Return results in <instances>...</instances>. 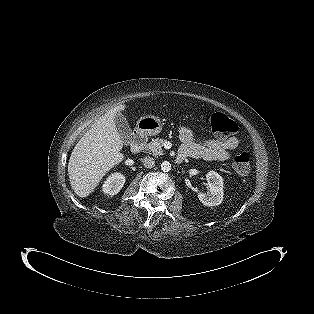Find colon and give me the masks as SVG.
<instances>
[{
	"label": "colon",
	"instance_id": "5ec220e1",
	"mask_svg": "<svg viewBox=\"0 0 314 314\" xmlns=\"http://www.w3.org/2000/svg\"><path fill=\"white\" fill-rule=\"evenodd\" d=\"M210 127L213 133L228 136L237 131L236 123L222 112L212 114ZM233 166L238 174L246 176L251 170V157L248 153L238 154L233 161Z\"/></svg>",
	"mask_w": 314,
	"mask_h": 314
}]
</instances>
